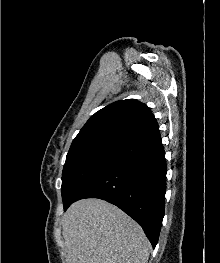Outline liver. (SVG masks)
Listing matches in <instances>:
<instances>
[{"instance_id":"obj_1","label":"liver","mask_w":220,"mask_h":263,"mask_svg":"<svg viewBox=\"0 0 220 263\" xmlns=\"http://www.w3.org/2000/svg\"><path fill=\"white\" fill-rule=\"evenodd\" d=\"M67 263H147L150 242L121 209L100 199L73 203L62 220Z\"/></svg>"}]
</instances>
